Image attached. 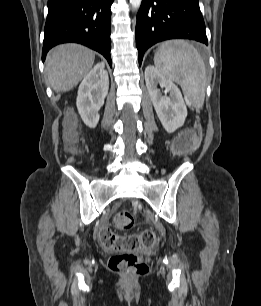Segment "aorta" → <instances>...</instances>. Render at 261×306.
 Masks as SVG:
<instances>
[{
	"instance_id": "1",
	"label": "aorta",
	"mask_w": 261,
	"mask_h": 306,
	"mask_svg": "<svg viewBox=\"0 0 261 306\" xmlns=\"http://www.w3.org/2000/svg\"><path fill=\"white\" fill-rule=\"evenodd\" d=\"M142 0H130V4L133 9H138L141 5Z\"/></svg>"
}]
</instances>
